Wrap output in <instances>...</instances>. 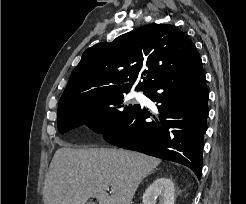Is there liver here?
Wrapping results in <instances>:
<instances>
[{"label":"liver","mask_w":246,"mask_h":204,"mask_svg":"<svg viewBox=\"0 0 246 204\" xmlns=\"http://www.w3.org/2000/svg\"><path fill=\"white\" fill-rule=\"evenodd\" d=\"M160 163L123 149L61 147L45 178L44 204H86L90 198L99 204H130L141 181Z\"/></svg>","instance_id":"liver-1"}]
</instances>
